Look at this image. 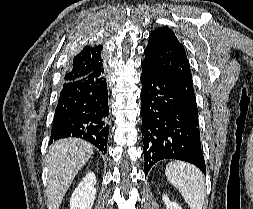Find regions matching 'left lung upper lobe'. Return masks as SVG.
<instances>
[{"instance_id":"1","label":"left lung upper lobe","mask_w":253,"mask_h":209,"mask_svg":"<svg viewBox=\"0 0 253 209\" xmlns=\"http://www.w3.org/2000/svg\"><path fill=\"white\" fill-rule=\"evenodd\" d=\"M144 54L143 62L164 72L180 91L189 108L198 115L189 61L184 46L174 32L167 27L152 31Z\"/></svg>"}]
</instances>
